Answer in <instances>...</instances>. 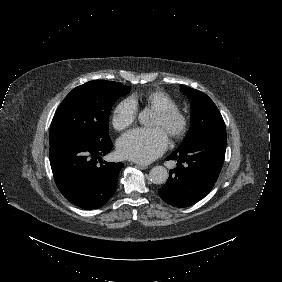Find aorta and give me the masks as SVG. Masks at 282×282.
Wrapping results in <instances>:
<instances>
[{"instance_id":"aorta-1","label":"aorta","mask_w":282,"mask_h":282,"mask_svg":"<svg viewBox=\"0 0 282 282\" xmlns=\"http://www.w3.org/2000/svg\"><path fill=\"white\" fill-rule=\"evenodd\" d=\"M138 120L142 125H149L151 122V114L148 110L142 111L138 116ZM149 176L154 184H163L167 181L169 174L164 166L159 165L151 169Z\"/></svg>"}]
</instances>
